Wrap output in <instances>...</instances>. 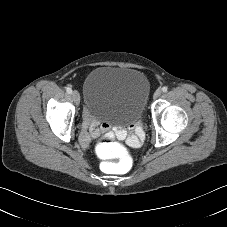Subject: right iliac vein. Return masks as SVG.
I'll return each mask as SVG.
<instances>
[{"instance_id": "obj_1", "label": "right iliac vein", "mask_w": 227, "mask_h": 227, "mask_svg": "<svg viewBox=\"0 0 227 227\" xmlns=\"http://www.w3.org/2000/svg\"><path fill=\"white\" fill-rule=\"evenodd\" d=\"M72 98H73V100H74V102H75L76 104L79 103V101H80V95H79V93H78L77 90H74V91L72 92Z\"/></svg>"}]
</instances>
